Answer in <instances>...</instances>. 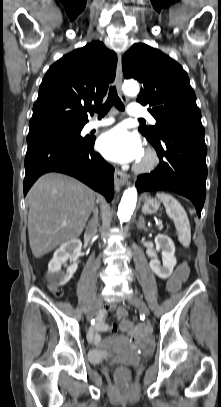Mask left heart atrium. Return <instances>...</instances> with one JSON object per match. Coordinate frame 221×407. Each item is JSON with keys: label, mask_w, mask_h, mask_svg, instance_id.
<instances>
[{"label": "left heart atrium", "mask_w": 221, "mask_h": 407, "mask_svg": "<svg viewBox=\"0 0 221 407\" xmlns=\"http://www.w3.org/2000/svg\"><path fill=\"white\" fill-rule=\"evenodd\" d=\"M97 149L110 161L127 163L140 157L141 142L136 134L117 126L99 137Z\"/></svg>", "instance_id": "obj_1"}]
</instances>
